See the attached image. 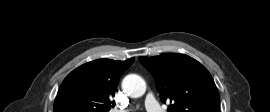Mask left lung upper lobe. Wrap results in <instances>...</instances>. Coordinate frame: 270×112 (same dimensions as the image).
Wrapping results in <instances>:
<instances>
[{"mask_svg": "<svg viewBox=\"0 0 270 112\" xmlns=\"http://www.w3.org/2000/svg\"><path fill=\"white\" fill-rule=\"evenodd\" d=\"M154 76L163 102L169 112H220L219 94L208 70L184 54L139 57Z\"/></svg>", "mask_w": 270, "mask_h": 112, "instance_id": "obj_1", "label": "left lung upper lobe"}]
</instances>
